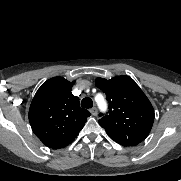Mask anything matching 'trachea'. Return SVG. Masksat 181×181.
I'll return each mask as SVG.
<instances>
[{
    "label": "trachea",
    "mask_w": 181,
    "mask_h": 181,
    "mask_svg": "<svg viewBox=\"0 0 181 181\" xmlns=\"http://www.w3.org/2000/svg\"><path fill=\"white\" fill-rule=\"evenodd\" d=\"M81 106H82L83 108H87V109L92 108V106H93V101H92V99H90V98H88V97L82 99V101H81Z\"/></svg>",
    "instance_id": "trachea-1"
}]
</instances>
